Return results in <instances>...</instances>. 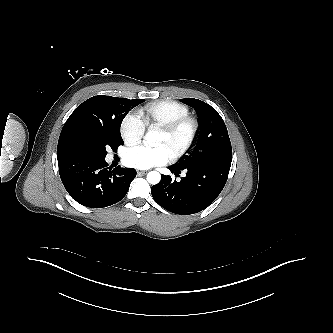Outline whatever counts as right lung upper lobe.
<instances>
[{"label": "right lung upper lobe", "mask_w": 333, "mask_h": 333, "mask_svg": "<svg viewBox=\"0 0 333 333\" xmlns=\"http://www.w3.org/2000/svg\"><path fill=\"white\" fill-rule=\"evenodd\" d=\"M112 98L111 96L97 95L89 98L73 111L61 131L57 146V158L71 152L68 145V136L84 119L101 120L108 115V107Z\"/></svg>", "instance_id": "obj_1"}]
</instances>
